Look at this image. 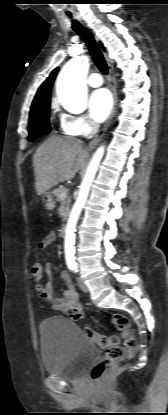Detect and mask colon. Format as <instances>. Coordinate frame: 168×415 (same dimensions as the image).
I'll return each instance as SVG.
<instances>
[{
    "label": "colon",
    "mask_w": 168,
    "mask_h": 415,
    "mask_svg": "<svg viewBox=\"0 0 168 415\" xmlns=\"http://www.w3.org/2000/svg\"><path fill=\"white\" fill-rule=\"evenodd\" d=\"M45 262L43 259H36L32 265L29 266L30 282L34 284L42 283L44 280L42 268ZM113 324L121 331L123 337V344H120L119 338L116 336H102L95 332L92 328L85 327L83 335L92 343L105 349V352L99 362H97L91 370L92 380H99L104 373L123 360L125 357L134 353L137 343L130 330L129 319L121 314L113 315Z\"/></svg>",
    "instance_id": "obj_1"
}]
</instances>
